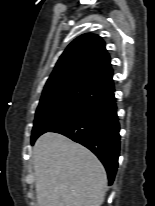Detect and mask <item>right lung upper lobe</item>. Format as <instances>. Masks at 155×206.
I'll list each match as a JSON object with an SVG mask.
<instances>
[{
	"mask_svg": "<svg viewBox=\"0 0 155 206\" xmlns=\"http://www.w3.org/2000/svg\"><path fill=\"white\" fill-rule=\"evenodd\" d=\"M113 70L104 41L95 34L76 38L60 56L43 91L84 86L106 95L114 91Z\"/></svg>",
	"mask_w": 155,
	"mask_h": 206,
	"instance_id": "1",
	"label": "right lung upper lobe"
}]
</instances>
